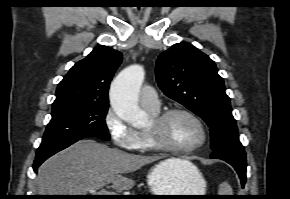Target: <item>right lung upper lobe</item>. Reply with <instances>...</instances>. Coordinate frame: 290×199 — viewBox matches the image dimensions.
<instances>
[{
    "label": "right lung upper lobe",
    "instance_id": "right-lung-upper-lobe-1",
    "mask_svg": "<svg viewBox=\"0 0 290 199\" xmlns=\"http://www.w3.org/2000/svg\"><path fill=\"white\" fill-rule=\"evenodd\" d=\"M122 54L107 46H97L77 62L58 84L53 108L76 103L108 104V89Z\"/></svg>",
    "mask_w": 290,
    "mask_h": 199
}]
</instances>
